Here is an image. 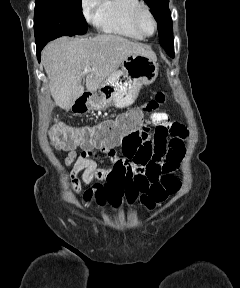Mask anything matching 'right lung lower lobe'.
Segmentation results:
<instances>
[{
  "mask_svg": "<svg viewBox=\"0 0 240 288\" xmlns=\"http://www.w3.org/2000/svg\"><path fill=\"white\" fill-rule=\"evenodd\" d=\"M46 44H42V45H39L37 46V57H38V60L40 61V53H41V50L43 49V47L45 46Z\"/></svg>",
  "mask_w": 240,
  "mask_h": 288,
  "instance_id": "1",
  "label": "right lung lower lobe"
}]
</instances>
